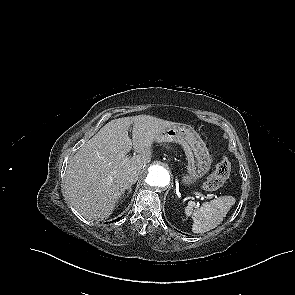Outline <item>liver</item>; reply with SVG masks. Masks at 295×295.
<instances>
[{
	"label": "liver",
	"mask_w": 295,
	"mask_h": 295,
	"mask_svg": "<svg viewBox=\"0 0 295 295\" xmlns=\"http://www.w3.org/2000/svg\"><path fill=\"white\" fill-rule=\"evenodd\" d=\"M176 124L149 115L105 124L69 161L65 192L73 207L89 220L108 218L132 183L128 173H140L151 161L152 145L159 133ZM131 125L133 140L128 135ZM132 148L138 154L129 158L126 155Z\"/></svg>",
	"instance_id": "liver-1"
}]
</instances>
